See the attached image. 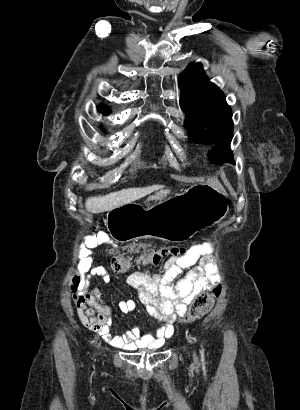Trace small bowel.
Segmentation results:
<instances>
[{
	"instance_id": "small-bowel-1",
	"label": "small bowel",
	"mask_w": 300,
	"mask_h": 410,
	"mask_svg": "<svg viewBox=\"0 0 300 410\" xmlns=\"http://www.w3.org/2000/svg\"><path fill=\"white\" fill-rule=\"evenodd\" d=\"M107 241L108 237L100 233L89 237L81 245V269L87 271L88 275L73 294L77 315L83 325L99 334L111 346L126 350L157 349L172 336L173 320L186 311L195 295L219 280L212 248L206 243L192 245L185 255L170 257L162 275H150L142 271L127 275V284L138 291L147 313L159 325L154 332L146 334L134 327L122 334L113 335L112 309L103 301L100 289L90 286L92 276L99 277L105 283L110 281L107 269L96 265L91 257V250ZM184 271L186 272L182 275ZM117 307L121 313L127 314L136 308V303L131 299L122 300Z\"/></svg>"
}]
</instances>
